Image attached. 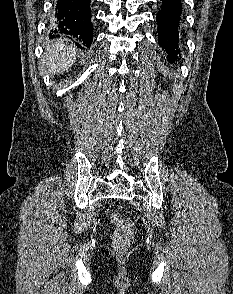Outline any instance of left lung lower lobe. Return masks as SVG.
Wrapping results in <instances>:
<instances>
[{
    "mask_svg": "<svg viewBox=\"0 0 233 294\" xmlns=\"http://www.w3.org/2000/svg\"><path fill=\"white\" fill-rule=\"evenodd\" d=\"M162 2L161 10L156 16L159 32L158 43L170 56L174 57L180 53L177 47L181 0H162Z\"/></svg>",
    "mask_w": 233,
    "mask_h": 294,
    "instance_id": "obj_1",
    "label": "left lung lower lobe"
}]
</instances>
